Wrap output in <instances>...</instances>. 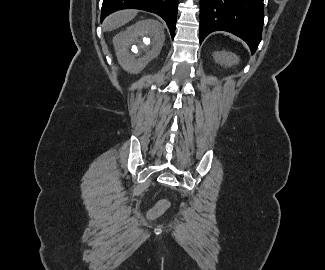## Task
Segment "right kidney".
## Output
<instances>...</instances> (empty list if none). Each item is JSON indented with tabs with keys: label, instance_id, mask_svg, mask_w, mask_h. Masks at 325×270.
<instances>
[{
	"label": "right kidney",
	"instance_id": "ca27d5eb",
	"mask_svg": "<svg viewBox=\"0 0 325 270\" xmlns=\"http://www.w3.org/2000/svg\"><path fill=\"white\" fill-rule=\"evenodd\" d=\"M164 41L162 25L151 19L139 21L113 38L119 64L133 74L159 55Z\"/></svg>",
	"mask_w": 325,
	"mask_h": 270
}]
</instances>
